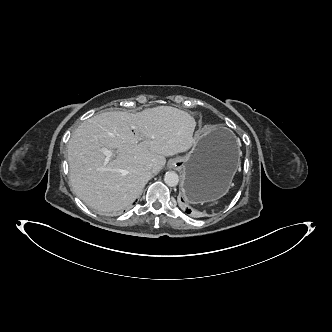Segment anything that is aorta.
Masks as SVG:
<instances>
[{
	"instance_id": "obj_1",
	"label": "aorta",
	"mask_w": 332,
	"mask_h": 332,
	"mask_svg": "<svg viewBox=\"0 0 332 332\" xmlns=\"http://www.w3.org/2000/svg\"><path fill=\"white\" fill-rule=\"evenodd\" d=\"M164 181L168 186H176L179 182V176L174 171H168L165 173Z\"/></svg>"
}]
</instances>
